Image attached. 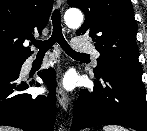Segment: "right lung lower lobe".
Instances as JSON below:
<instances>
[{
    "label": "right lung lower lobe",
    "mask_w": 147,
    "mask_h": 131,
    "mask_svg": "<svg viewBox=\"0 0 147 131\" xmlns=\"http://www.w3.org/2000/svg\"><path fill=\"white\" fill-rule=\"evenodd\" d=\"M50 89L47 97L21 91L32 86L19 80V72L0 73V125L24 131H53L56 119V81L52 69L39 72ZM39 85L38 83L36 84Z\"/></svg>",
    "instance_id": "1"
}]
</instances>
